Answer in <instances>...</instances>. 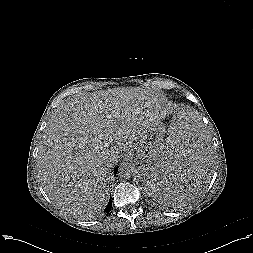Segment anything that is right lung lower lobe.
Returning a JSON list of instances; mask_svg holds the SVG:
<instances>
[{
	"label": "right lung lower lobe",
	"mask_w": 253,
	"mask_h": 253,
	"mask_svg": "<svg viewBox=\"0 0 253 253\" xmlns=\"http://www.w3.org/2000/svg\"><path fill=\"white\" fill-rule=\"evenodd\" d=\"M117 170H118V167L115 170V174H116ZM111 208H112V201H111V198H110V200L108 202V205H107V207L105 208L104 211L108 214L110 212Z\"/></svg>",
	"instance_id": "98d812e1"
}]
</instances>
